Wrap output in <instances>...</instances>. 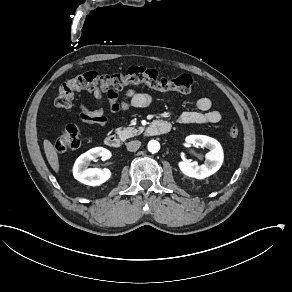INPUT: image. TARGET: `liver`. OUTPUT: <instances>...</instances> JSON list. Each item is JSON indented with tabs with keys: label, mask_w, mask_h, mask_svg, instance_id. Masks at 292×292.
<instances>
[{
	"label": "liver",
	"mask_w": 292,
	"mask_h": 292,
	"mask_svg": "<svg viewBox=\"0 0 292 292\" xmlns=\"http://www.w3.org/2000/svg\"><path fill=\"white\" fill-rule=\"evenodd\" d=\"M44 145V151L46 154V158L52 167V169L55 172L59 171V161H58V155L56 152L55 147L52 145V143L49 140H44L43 142Z\"/></svg>",
	"instance_id": "6515ba94"
}]
</instances>
